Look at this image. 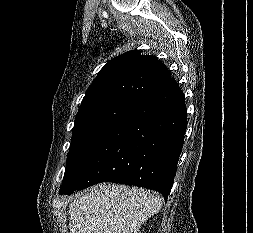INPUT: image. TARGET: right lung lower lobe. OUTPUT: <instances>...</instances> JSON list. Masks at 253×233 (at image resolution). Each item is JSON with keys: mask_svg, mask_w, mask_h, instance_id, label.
Wrapping results in <instances>:
<instances>
[{"mask_svg": "<svg viewBox=\"0 0 253 233\" xmlns=\"http://www.w3.org/2000/svg\"><path fill=\"white\" fill-rule=\"evenodd\" d=\"M186 127L184 95L170 77L134 102L63 180L59 193L114 182L156 190L167 200Z\"/></svg>", "mask_w": 253, "mask_h": 233, "instance_id": "right-lung-lower-lobe-1", "label": "right lung lower lobe"}]
</instances>
